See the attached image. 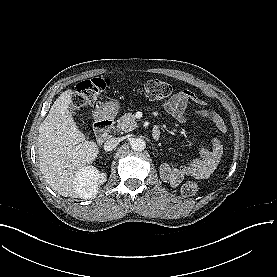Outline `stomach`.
<instances>
[{"label": "stomach", "mask_w": 277, "mask_h": 277, "mask_svg": "<svg viewBox=\"0 0 277 277\" xmlns=\"http://www.w3.org/2000/svg\"><path fill=\"white\" fill-rule=\"evenodd\" d=\"M120 108V104L116 100H110L103 105V112L107 115H115Z\"/></svg>", "instance_id": "1"}]
</instances>
